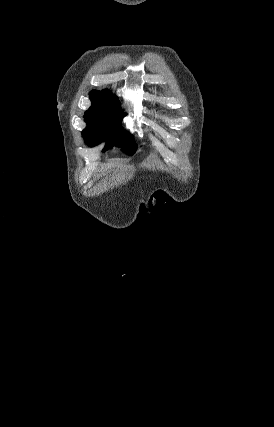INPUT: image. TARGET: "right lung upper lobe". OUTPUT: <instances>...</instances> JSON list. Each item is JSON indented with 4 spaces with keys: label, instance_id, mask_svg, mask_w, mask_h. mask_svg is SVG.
Wrapping results in <instances>:
<instances>
[{
    "label": "right lung upper lobe",
    "instance_id": "1",
    "mask_svg": "<svg viewBox=\"0 0 274 427\" xmlns=\"http://www.w3.org/2000/svg\"><path fill=\"white\" fill-rule=\"evenodd\" d=\"M92 106L86 111L85 116H99L105 114L122 113L119 108V101L108 92L93 90L90 92Z\"/></svg>",
    "mask_w": 274,
    "mask_h": 427
}]
</instances>
